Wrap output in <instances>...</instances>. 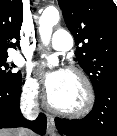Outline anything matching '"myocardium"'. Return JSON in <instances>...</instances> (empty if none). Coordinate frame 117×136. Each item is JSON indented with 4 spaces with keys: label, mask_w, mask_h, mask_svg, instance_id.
<instances>
[{
    "label": "myocardium",
    "mask_w": 117,
    "mask_h": 136,
    "mask_svg": "<svg viewBox=\"0 0 117 136\" xmlns=\"http://www.w3.org/2000/svg\"><path fill=\"white\" fill-rule=\"evenodd\" d=\"M67 72L75 75L81 81V84L83 86V90L85 93L84 103L76 109H64V108H60L54 105L48 94L47 95V106L53 112L59 115L65 116V117H69V118L84 117L92 111L95 105L96 96H95V90H94L93 84L90 78L88 77V75L82 69L78 67L71 66L67 69Z\"/></svg>",
    "instance_id": "myocardium-1"
}]
</instances>
